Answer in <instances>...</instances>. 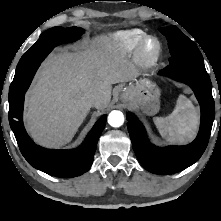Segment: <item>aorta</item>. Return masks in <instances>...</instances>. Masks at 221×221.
<instances>
[{"mask_svg":"<svg viewBox=\"0 0 221 221\" xmlns=\"http://www.w3.org/2000/svg\"><path fill=\"white\" fill-rule=\"evenodd\" d=\"M108 123L112 127H120L124 123V115L121 111L114 110L108 115Z\"/></svg>","mask_w":221,"mask_h":221,"instance_id":"aorta-1","label":"aorta"}]
</instances>
